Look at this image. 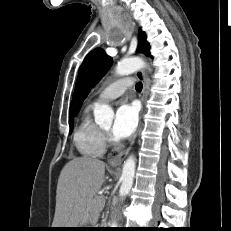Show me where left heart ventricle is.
Masks as SVG:
<instances>
[{
  "mask_svg": "<svg viewBox=\"0 0 231 231\" xmlns=\"http://www.w3.org/2000/svg\"><path fill=\"white\" fill-rule=\"evenodd\" d=\"M110 128H111V125H107V126L103 127V129H104L105 131H107V132L110 131Z\"/></svg>",
  "mask_w": 231,
  "mask_h": 231,
  "instance_id": "left-heart-ventricle-1",
  "label": "left heart ventricle"
}]
</instances>
